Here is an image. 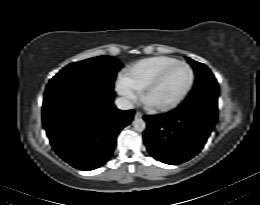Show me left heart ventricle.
Here are the masks:
<instances>
[{
	"instance_id": "obj_1",
	"label": "left heart ventricle",
	"mask_w": 260,
	"mask_h": 205,
	"mask_svg": "<svg viewBox=\"0 0 260 205\" xmlns=\"http://www.w3.org/2000/svg\"><path fill=\"white\" fill-rule=\"evenodd\" d=\"M190 81V72L183 65L171 68L163 79L149 92L148 102L154 105L167 104L178 98Z\"/></svg>"
}]
</instances>
